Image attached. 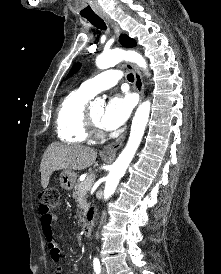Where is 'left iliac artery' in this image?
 <instances>
[{"mask_svg":"<svg viewBox=\"0 0 221 274\" xmlns=\"http://www.w3.org/2000/svg\"><path fill=\"white\" fill-rule=\"evenodd\" d=\"M93 267H94V271L96 272V274H100L101 265H100L99 259L96 257L93 260Z\"/></svg>","mask_w":221,"mask_h":274,"instance_id":"left-iliac-artery-1","label":"left iliac artery"}]
</instances>
